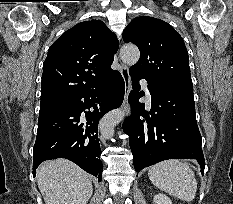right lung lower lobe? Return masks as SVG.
I'll use <instances>...</instances> for the list:
<instances>
[{
  "instance_id": "obj_1",
  "label": "right lung lower lobe",
  "mask_w": 233,
  "mask_h": 204,
  "mask_svg": "<svg viewBox=\"0 0 233 204\" xmlns=\"http://www.w3.org/2000/svg\"><path fill=\"white\" fill-rule=\"evenodd\" d=\"M124 92V80L113 70L100 84L70 97L61 109L40 119L33 150V176L41 162L66 158L101 181L99 119L122 104ZM91 107L93 112L85 111Z\"/></svg>"
}]
</instances>
